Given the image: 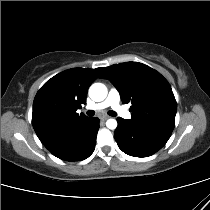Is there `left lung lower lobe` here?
<instances>
[{"instance_id": "0a47b994", "label": "left lung lower lobe", "mask_w": 210, "mask_h": 210, "mask_svg": "<svg viewBox=\"0 0 210 210\" xmlns=\"http://www.w3.org/2000/svg\"><path fill=\"white\" fill-rule=\"evenodd\" d=\"M117 122L114 138L119 148L130 156H150L160 150L171 136L170 132L160 129L133 126L120 117Z\"/></svg>"}]
</instances>
